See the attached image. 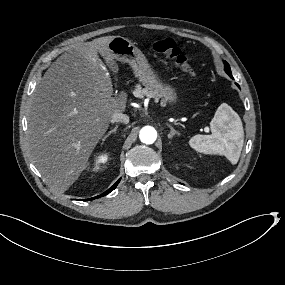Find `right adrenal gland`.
Returning a JSON list of instances; mask_svg holds the SVG:
<instances>
[{
    "instance_id": "2a0ac1e0",
    "label": "right adrenal gland",
    "mask_w": 285,
    "mask_h": 285,
    "mask_svg": "<svg viewBox=\"0 0 285 285\" xmlns=\"http://www.w3.org/2000/svg\"><path fill=\"white\" fill-rule=\"evenodd\" d=\"M117 128H118V125H115V127H114L111 131H109V133H108V134L104 137V139L102 140V143H101V146H100V147H103L105 141L109 138L110 135L116 133Z\"/></svg>"
}]
</instances>
